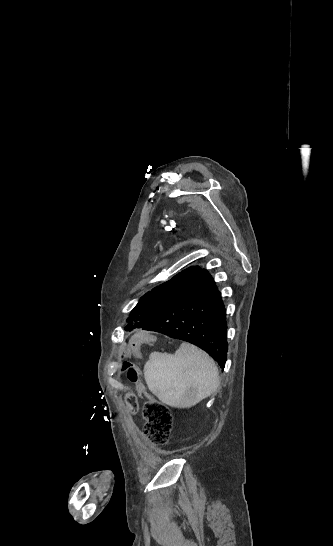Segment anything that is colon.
<instances>
[{
  "label": "colon",
  "instance_id": "1",
  "mask_svg": "<svg viewBox=\"0 0 333 546\" xmlns=\"http://www.w3.org/2000/svg\"><path fill=\"white\" fill-rule=\"evenodd\" d=\"M133 342L130 343L129 348ZM133 360L127 359L122 366V372L126 375L125 382L129 386H136L142 392V397L145 400L143 406V417L145 419L144 435L153 446H164L167 444L173 428V417L169 408L163 403L151 399V395L147 391L145 380L139 377L140 369L135 365ZM128 403H135L136 397L134 393L128 392L126 395Z\"/></svg>",
  "mask_w": 333,
  "mask_h": 546
}]
</instances>
